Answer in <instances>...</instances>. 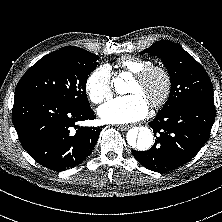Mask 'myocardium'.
I'll return each instance as SVG.
<instances>
[{
	"mask_svg": "<svg viewBox=\"0 0 222 222\" xmlns=\"http://www.w3.org/2000/svg\"><path fill=\"white\" fill-rule=\"evenodd\" d=\"M154 75L162 77L163 89L160 96L150 104V107L159 109L166 104L172 92L173 81L170 72L165 67L152 65L134 74L133 78L138 82L144 83Z\"/></svg>",
	"mask_w": 222,
	"mask_h": 222,
	"instance_id": "1",
	"label": "myocardium"
}]
</instances>
